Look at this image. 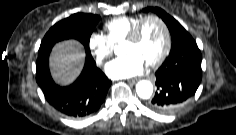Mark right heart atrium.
<instances>
[{
    "label": "right heart atrium",
    "instance_id": "right-heart-atrium-1",
    "mask_svg": "<svg viewBox=\"0 0 236 135\" xmlns=\"http://www.w3.org/2000/svg\"><path fill=\"white\" fill-rule=\"evenodd\" d=\"M88 47L98 65H103L113 54L114 45L107 36L92 33L88 38Z\"/></svg>",
    "mask_w": 236,
    "mask_h": 135
}]
</instances>
